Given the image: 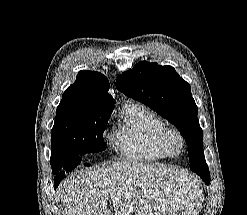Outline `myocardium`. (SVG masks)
<instances>
[{"label":"myocardium","mask_w":247,"mask_h":215,"mask_svg":"<svg viewBox=\"0 0 247 215\" xmlns=\"http://www.w3.org/2000/svg\"><path fill=\"white\" fill-rule=\"evenodd\" d=\"M177 139L178 141V148H174L172 146V140ZM159 143L162 150L171 157L179 156L183 153L185 149V138L180 130L174 127H167L160 132L159 135Z\"/></svg>","instance_id":"myocardium-1"}]
</instances>
